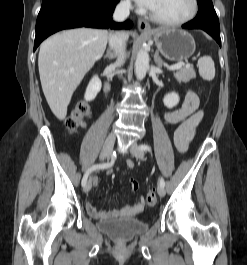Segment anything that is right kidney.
<instances>
[{
    "label": "right kidney",
    "instance_id": "obj_1",
    "mask_svg": "<svg viewBox=\"0 0 247 265\" xmlns=\"http://www.w3.org/2000/svg\"><path fill=\"white\" fill-rule=\"evenodd\" d=\"M102 87L101 80L98 78L97 75H95L89 82L84 98L86 101L93 100L97 94L100 92Z\"/></svg>",
    "mask_w": 247,
    "mask_h": 265
}]
</instances>
